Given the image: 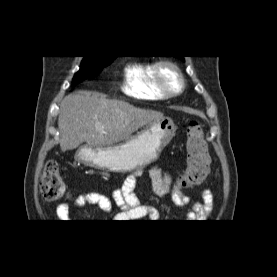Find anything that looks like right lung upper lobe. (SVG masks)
Here are the masks:
<instances>
[{"mask_svg": "<svg viewBox=\"0 0 277 277\" xmlns=\"http://www.w3.org/2000/svg\"><path fill=\"white\" fill-rule=\"evenodd\" d=\"M85 57H104V58H115L117 56H85Z\"/></svg>", "mask_w": 277, "mask_h": 277, "instance_id": "obj_1", "label": "right lung upper lobe"}]
</instances>
